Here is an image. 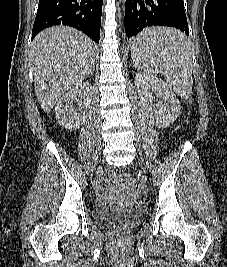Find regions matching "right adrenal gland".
<instances>
[{
	"mask_svg": "<svg viewBox=\"0 0 227 267\" xmlns=\"http://www.w3.org/2000/svg\"><path fill=\"white\" fill-rule=\"evenodd\" d=\"M94 71H95V66L93 65V67H92L90 73H92V72H94Z\"/></svg>",
	"mask_w": 227,
	"mask_h": 267,
	"instance_id": "1",
	"label": "right adrenal gland"
}]
</instances>
